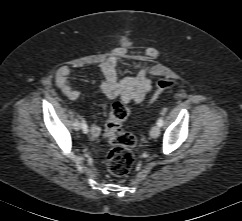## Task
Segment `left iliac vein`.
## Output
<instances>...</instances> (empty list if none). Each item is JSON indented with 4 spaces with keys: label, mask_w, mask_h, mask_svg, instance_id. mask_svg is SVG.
Masks as SVG:
<instances>
[{
    "label": "left iliac vein",
    "mask_w": 242,
    "mask_h": 221,
    "mask_svg": "<svg viewBox=\"0 0 242 221\" xmlns=\"http://www.w3.org/2000/svg\"><path fill=\"white\" fill-rule=\"evenodd\" d=\"M160 135V127L158 125H154L150 130V136L152 138H157Z\"/></svg>",
    "instance_id": "4c4485c4"
}]
</instances>
